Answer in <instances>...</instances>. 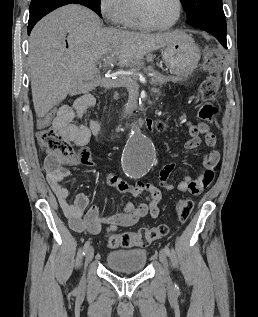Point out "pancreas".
Segmentation results:
<instances>
[{
    "mask_svg": "<svg viewBox=\"0 0 258 317\" xmlns=\"http://www.w3.org/2000/svg\"><path fill=\"white\" fill-rule=\"evenodd\" d=\"M102 80H105V78H100ZM148 82L150 81L151 84H139V81H136L135 79H129L126 77H114V76H109L108 77V82H104L105 86H108L109 83H114L117 84L118 89H123L125 87V91L127 93H133L135 89L138 91L140 89H143L145 93H150L151 90H154L155 93H160L161 92V84L167 83L170 80L167 78L163 77H153L150 78V80H147Z\"/></svg>",
    "mask_w": 258,
    "mask_h": 317,
    "instance_id": "1",
    "label": "pancreas"
}]
</instances>
